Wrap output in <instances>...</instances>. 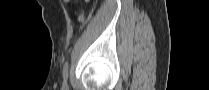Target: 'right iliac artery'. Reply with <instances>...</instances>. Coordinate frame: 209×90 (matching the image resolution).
<instances>
[{"label":"right iliac artery","mask_w":209,"mask_h":90,"mask_svg":"<svg viewBox=\"0 0 209 90\" xmlns=\"http://www.w3.org/2000/svg\"><path fill=\"white\" fill-rule=\"evenodd\" d=\"M63 77H64V80H67L68 78V64L67 63L64 65Z\"/></svg>","instance_id":"82829eb1"}]
</instances>
